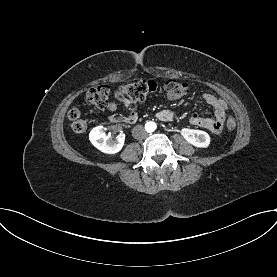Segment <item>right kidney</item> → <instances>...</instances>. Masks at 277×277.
Returning <instances> with one entry per match:
<instances>
[{"label": "right kidney", "instance_id": "ca27d5eb", "mask_svg": "<svg viewBox=\"0 0 277 277\" xmlns=\"http://www.w3.org/2000/svg\"><path fill=\"white\" fill-rule=\"evenodd\" d=\"M117 131H119V134L116 137V141H112L105 135V128L103 126H97L89 133V140L101 152L115 154L122 149L125 141V134L120 127H117Z\"/></svg>", "mask_w": 277, "mask_h": 277}]
</instances>
